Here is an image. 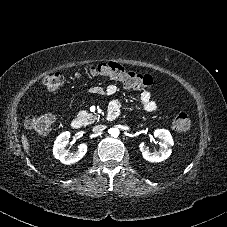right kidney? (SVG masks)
I'll return each instance as SVG.
<instances>
[{"mask_svg": "<svg viewBox=\"0 0 227 227\" xmlns=\"http://www.w3.org/2000/svg\"><path fill=\"white\" fill-rule=\"evenodd\" d=\"M69 138L70 132H63L57 137L53 146L54 157L64 164H73L78 162L87 152V145L85 143L80 144L76 152H69L66 149Z\"/></svg>", "mask_w": 227, "mask_h": 227, "instance_id": "ca27d5eb", "label": "right kidney"}]
</instances>
